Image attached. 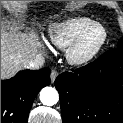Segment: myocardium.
Here are the masks:
<instances>
[{
  "mask_svg": "<svg viewBox=\"0 0 123 123\" xmlns=\"http://www.w3.org/2000/svg\"><path fill=\"white\" fill-rule=\"evenodd\" d=\"M96 29L102 31V37L98 43L91 48L89 51L82 53L80 51L82 44L85 39ZM108 38V33L106 28L100 23H94L84 31H82L73 42L66 48L65 57L69 64L73 66H83L93 60L100 50L105 45Z\"/></svg>",
  "mask_w": 123,
  "mask_h": 123,
  "instance_id": "1",
  "label": "myocardium"
}]
</instances>
